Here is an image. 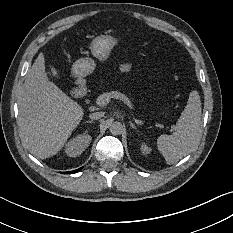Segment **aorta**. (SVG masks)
Segmentation results:
<instances>
[{
  "mask_svg": "<svg viewBox=\"0 0 233 233\" xmlns=\"http://www.w3.org/2000/svg\"><path fill=\"white\" fill-rule=\"evenodd\" d=\"M121 123L120 122H112V124L110 125V131L112 134L114 135H118L121 131Z\"/></svg>",
  "mask_w": 233,
  "mask_h": 233,
  "instance_id": "762f6f07",
  "label": "aorta"
}]
</instances>
